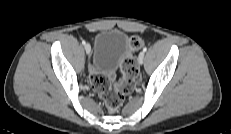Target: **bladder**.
<instances>
[{
    "label": "bladder",
    "mask_w": 231,
    "mask_h": 134,
    "mask_svg": "<svg viewBox=\"0 0 231 134\" xmlns=\"http://www.w3.org/2000/svg\"><path fill=\"white\" fill-rule=\"evenodd\" d=\"M128 49L129 38L125 32L118 29L98 32L94 38L93 69L104 76H113Z\"/></svg>",
    "instance_id": "obj_1"
}]
</instances>
